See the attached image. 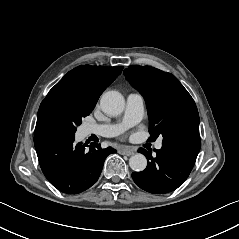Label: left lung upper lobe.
Segmentation results:
<instances>
[{
  "label": "left lung upper lobe",
  "mask_w": 239,
  "mask_h": 239,
  "mask_svg": "<svg viewBox=\"0 0 239 239\" xmlns=\"http://www.w3.org/2000/svg\"><path fill=\"white\" fill-rule=\"evenodd\" d=\"M127 80L144 97L150 120V139L181 132L199 133V114L194 100L178 79L150 66L132 65L124 70Z\"/></svg>",
  "instance_id": "obj_1"
}]
</instances>
